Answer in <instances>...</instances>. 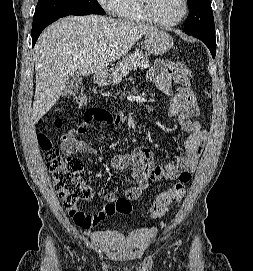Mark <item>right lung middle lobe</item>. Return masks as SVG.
<instances>
[{
	"label": "right lung middle lobe",
	"mask_w": 253,
	"mask_h": 271,
	"mask_svg": "<svg viewBox=\"0 0 253 271\" xmlns=\"http://www.w3.org/2000/svg\"><path fill=\"white\" fill-rule=\"evenodd\" d=\"M88 14L104 15L105 11L97 0H38L33 17L32 31L60 17Z\"/></svg>",
	"instance_id": "dd1d6c3e"
}]
</instances>
